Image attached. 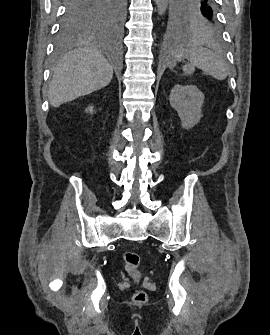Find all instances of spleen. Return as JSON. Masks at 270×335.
<instances>
[{"mask_svg":"<svg viewBox=\"0 0 270 335\" xmlns=\"http://www.w3.org/2000/svg\"><path fill=\"white\" fill-rule=\"evenodd\" d=\"M187 48V50H185ZM167 60L168 66H175V62H180L181 58H188L192 64L184 66L185 74H193L196 68L203 70L208 76H213L216 80H225L228 76V66L220 52H212L208 48H202L198 42H187L184 46H177Z\"/></svg>","mask_w":270,"mask_h":335,"instance_id":"spleen-1","label":"spleen"}]
</instances>
